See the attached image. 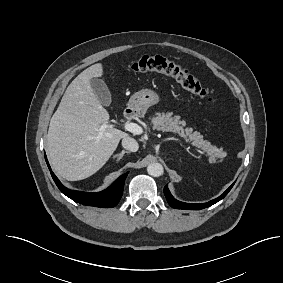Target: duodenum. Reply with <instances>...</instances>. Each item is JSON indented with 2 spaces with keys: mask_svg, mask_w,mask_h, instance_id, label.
Segmentation results:
<instances>
[{
  "mask_svg": "<svg viewBox=\"0 0 283 283\" xmlns=\"http://www.w3.org/2000/svg\"><path fill=\"white\" fill-rule=\"evenodd\" d=\"M137 116V108L136 107H128L124 113V117L127 120H132Z\"/></svg>",
  "mask_w": 283,
  "mask_h": 283,
  "instance_id": "410a0bca",
  "label": "duodenum"
}]
</instances>
